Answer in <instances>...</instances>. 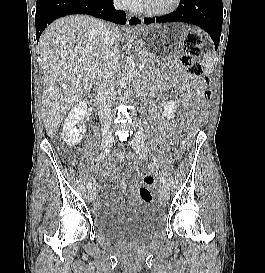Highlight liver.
<instances>
[{
  "label": "liver",
  "mask_w": 265,
  "mask_h": 273,
  "mask_svg": "<svg viewBox=\"0 0 265 273\" xmlns=\"http://www.w3.org/2000/svg\"><path fill=\"white\" fill-rule=\"evenodd\" d=\"M103 25L90 16L70 15L55 20L41 35L42 117L50 138L95 82L102 62ZM115 30L119 43L122 33Z\"/></svg>",
  "instance_id": "obj_1"
}]
</instances>
